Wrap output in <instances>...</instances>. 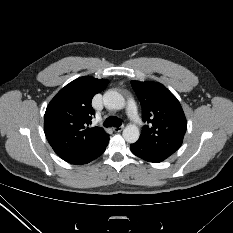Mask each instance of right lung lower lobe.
I'll return each mask as SVG.
<instances>
[{
	"mask_svg": "<svg viewBox=\"0 0 233 233\" xmlns=\"http://www.w3.org/2000/svg\"><path fill=\"white\" fill-rule=\"evenodd\" d=\"M108 142H109V136L95 151H93L88 156H86V157H84V158H82V159H80L72 164L82 165V164H87V163L93 161L94 159H96L97 157H99L100 155L103 154V152L105 151V149L108 145Z\"/></svg>",
	"mask_w": 233,
	"mask_h": 233,
	"instance_id": "right-lung-lower-lobe-1",
	"label": "right lung lower lobe"
}]
</instances>
